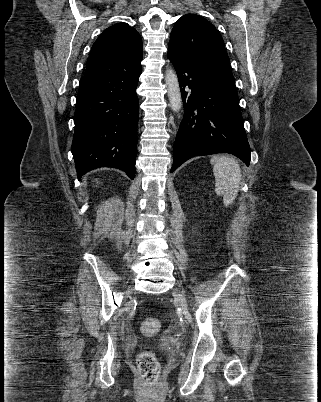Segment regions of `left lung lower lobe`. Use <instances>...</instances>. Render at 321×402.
Masks as SVG:
<instances>
[{"instance_id":"0a47b994","label":"left lung lower lobe","mask_w":321,"mask_h":402,"mask_svg":"<svg viewBox=\"0 0 321 402\" xmlns=\"http://www.w3.org/2000/svg\"><path fill=\"white\" fill-rule=\"evenodd\" d=\"M184 118L174 143L171 172L194 156L230 153L249 165L251 149L231 71L190 63L173 51Z\"/></svg>"}]
</instances>
